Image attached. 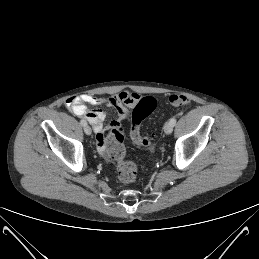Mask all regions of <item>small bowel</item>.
Wrapping results in <instances>:
<instances>
[{
  "label": "small bowel",
  "instance_id": "1",
  "mask_svg": "<svg viewBox=\"0 0 259 259\" xmlns=\"http://www.w3.org/2000/svg\"><path fill=\"white\" fill-rule=\"evenodd\" d=\"M140 96L136 93H131L128 91H122L115 95L107 98H100L94 95L83 94L81 96L71 97L66 101V106L77 116L83 117L89 121L92 125L98 149L100 152L104 153L105 150V126L104 120L106 119V112L101 109H90L86 104L98 106L106 105L108 107H113L116 109L118 114V120H113L109 127L120 125L121 122L125 121L129 115V109L135 107Z\"/></svg>",
  "mask_w": 259,
  "mask_h": 259
}]
</instances>
